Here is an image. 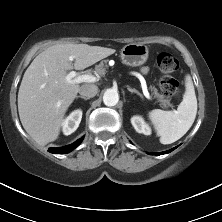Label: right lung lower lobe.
I'll use <instances>...</instances> for the list:
<instances>
[{
    "instance_id": "1",
    "label": "right lung lower lobe",
    "mask_w": 222,
    "mask_h": 222,
    "mask_svg": "<svg viewBox=\"0 0 222 222\" xmlns=\"http://www.w3.org/2000/svg\"><path fill=\"white\" fill-rule=\"evenodd\" d=\"M83 138L84 137H82L81 139L77 140L76 142H74L73 144L68 145V146H64V147H60V148H49L48 151L50 153H54V154L69 153L70 151L75 149L78 145H80Z\"/></svg>"
}]
</instances>
